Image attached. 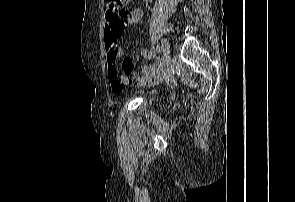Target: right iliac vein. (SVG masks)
<instances>
[{"label": "right iliac vein", "instance_id": "1", "mask_svg": "<svg viewBox=\"0 0 295 202\" xmlns=\"http://www.w3.org/2000/svg\"><path fill=\"white\" fill-rule=\"evenodd\" d=\"M161 51L163 55L168 56L170 53V46L167 39L163 38L161 41Z\"/></svg>", "mask_w": 295, "mask_h": 202}]
</instances>
